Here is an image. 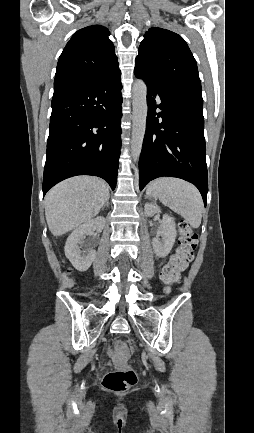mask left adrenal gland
I'll list each match as a JSON object with an SVG mask.
<instances>
[{
    "instance_id": "1",
    "label": "left adrenal gland",
    "mask_w": 254,
    "mask_h": 433,
    "mask_svg": "<svg viewBox=\"0 0 254 433\" xmlns=\"http://www.w3.org/2000/svg\"><path fill=\"white\" fill-rule=\"evenodd\" d=\"M145 198H148V195H145Z\"/></svg>"
}]
</instances>
